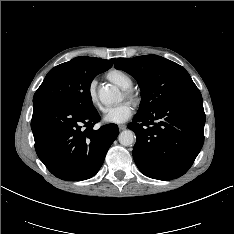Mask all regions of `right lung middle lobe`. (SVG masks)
<instances>
[{
  "mask_svg": "<svg viewBox=\"0 0 234 234\" xmlns=\"http://www.w3.org/2000/svg\"><path fill=\"white\" fill-rule=\"evenodd\" d=\"M102 71L86 70L76 59L49 71L35 92L33 103L42 100L60 101L79 109L92 108L90 85Z\"/></svg>",
  "mask_w": 234,
  "mask_h": 234,
  "instance_id": "dd1d6c3e",
  "label": "right lung middle lobe"
}]
</instances>
